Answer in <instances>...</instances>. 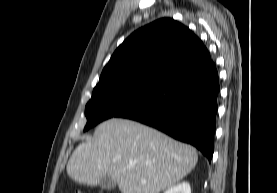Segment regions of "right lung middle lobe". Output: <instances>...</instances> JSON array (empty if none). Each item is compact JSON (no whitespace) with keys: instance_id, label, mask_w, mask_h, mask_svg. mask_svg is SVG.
Listing matches in <instances>:
<instances>
[{"instance_id":"right-lung-middle-lobe-1","label":"right lung middle lobe","mask_w":277,"mask_h":193,"mask_svg":"<svg viewBox=\"0 0 277 193\" xmlns=\"http://www.w3.org/2000/svg\"><path fill=\"white\" fill-rule=\"evenodd\" d=\"M154 91L156 89L136 86L94 90L91 100L85 107L87 124L84 131L106 119L117 117L142 102Z\"/></svg>"}]
</instances>
